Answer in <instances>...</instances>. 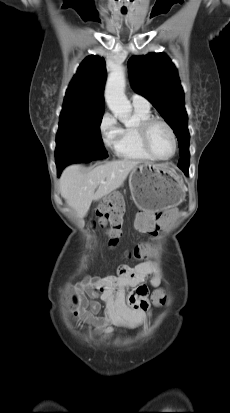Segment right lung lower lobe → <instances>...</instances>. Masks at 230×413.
Listing matches in <instances>:
<instances>
[{"label":"right lung lower lobe","mask_w":230,"mask_h":413,"mask_svg":"<svg viewBox=\"0 0 230 413\" xmlns=\"http://www.w3.org/2000/svg\"><path fill=\"white\" fill-rule=\"evenodd\" d=\"M57 170H58V175H60L61 171L63 170L62 167L57 166Z\"/></svg>","instance_id":"right-lung-lower-lobe-1"}]
</instances>
